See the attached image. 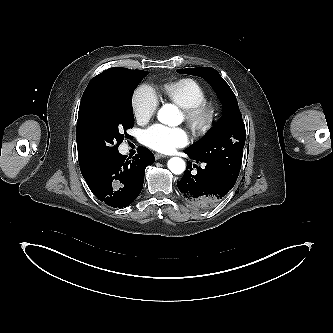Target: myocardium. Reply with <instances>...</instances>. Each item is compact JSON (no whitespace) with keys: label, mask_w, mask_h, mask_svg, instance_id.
Listing matches in <instances>:
<instances>
[{"label":"myocardium","mask_w":333,"mask_h":333,"mask_svg":"<svg viewBox=\"0 0 333 333\" xmlns=\"http://www.w3.org/2000/svg\"><path fill=\"white\" fill-rule=\"evenodd\" d=\"M183 115L192 134L200 138L213 129L219 119L220 110L216 103L205 100L197 105L183 109Z\"/></svg>","instance_id":"1"}]
</instances>
